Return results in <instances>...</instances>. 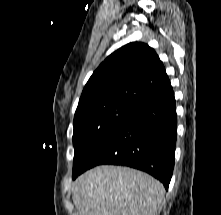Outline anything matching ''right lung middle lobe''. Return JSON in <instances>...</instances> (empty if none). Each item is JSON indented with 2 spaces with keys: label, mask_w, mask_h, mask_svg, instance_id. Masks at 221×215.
<instances>
[{
  "label": "right lung middle lobe",
  "mask_w": 221,
  "mask_h": 215,
  "mask_svg": "<svg viewBox=\"0 0 221 215\" xmlns=\"http://www.w3.org/2000/svg\"><path fill=\"white\" fill-rule=\"evenodd\" d=\"M134 105L110 100L78 106L74 116L73 176L86 167L89 159Z\"/></svg>",
  "instance_id": "dd1d6c3e"
}]
</instances>
